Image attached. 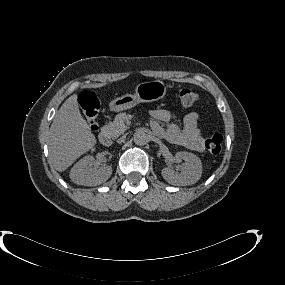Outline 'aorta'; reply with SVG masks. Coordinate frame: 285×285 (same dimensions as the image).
I'll return each mask as SVG.
<instances>
[{
	"label": "aorta",
	"mask_w": 285,
	"mask_h": 285,
	"mask_svg": "<svg viewBox=\"0 0 285 285\" xmlns=\"http://www.w3.org/2000/svg\"><path fill=\"white\" fill-rule=\"evenodd\" d=\"M133 138H134L135 144L140 145V146L147 144L149 141L148 135L142 130L136 131L134 133Z\"/></svg>",
	"instance_id": "obj_1"
}]
</instances>
